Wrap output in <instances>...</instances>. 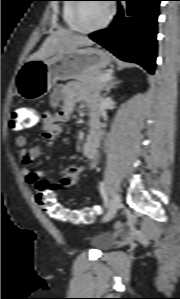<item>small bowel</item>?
<instances>
[{
  "label": "small bowel",
  "mask_w": 180,
  "mask_h": 299,
  "mask_svg": "<svg viewBox=\"0 0 180 299\" xmlns=\"http://www.w3.org/2000/svg\"><path fill=\"white\" fill-rule=\"evenodd\" d=\"M62 103L59 107V103ZM79 103L90 108L89 128L82 144V155L88 160L85 165H72L57 177L48 176L42 171H30L23 168L26 182L35 186L40 182L53 183L56 188H67L77 183L81 174L87 167L94 169L99 159V145L101 141V128L99 124V110L97 107V96L94 92L84 89L78 83H67L57 86L51 94V105L54 111H46L43 115L41 131L43 138L55 140L62 131L60 123L67 120L74 113ZM28 138L20 135L16 138V145L22 149L21 160L24 165L34 162L40 155V148L32 146L26 148Z\"/></svg>",
  "instance_id": "c3829d8e"
}]
</instances>
